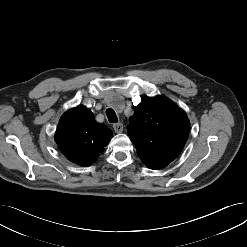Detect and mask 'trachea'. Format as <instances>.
Instances as JSON below:
<instances>
[{"mask_svg":"<svg viewBox=\"0 0 247 247\" xmlns=\"http://www.w3.org/2000/svg\"><path fill=\"white\" fill-rule=\"evenodd\" d=\"M106 115H107V118H108L110 123H117L118 122V118H117L116 113L113 109L108 108L106 110Z\"/></svg>","mask_w":247,"mask_h":247,"instance_id":"obj_1","label":"trachea"}]
</instances>
